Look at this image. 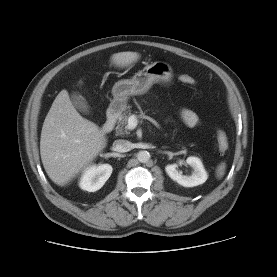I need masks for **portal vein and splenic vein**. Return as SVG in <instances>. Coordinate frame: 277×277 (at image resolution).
<instances>
[{
  "mask_svg": "<svg viewBox=\"0 0 277 277\" xmlns=\"http://www.w3.org/2000/svg\"><path fill=\"white\" fill-rule=\"evenodd\" d=\"M137 125H138L137 117L135 115H131L128 118L127 129L133 130V129H135L137 127Z\"/></svg>",
  "mask_w": 277,
  "mask_h": 277,
  "instance_id": "1",
  "label": "portal vein and splenic vein"
}]
</instances>
